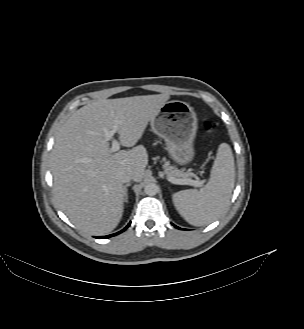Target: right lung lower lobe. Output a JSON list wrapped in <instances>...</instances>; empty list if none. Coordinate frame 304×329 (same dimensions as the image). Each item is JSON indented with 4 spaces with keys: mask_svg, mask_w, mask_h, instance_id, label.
<instances>
[{
    "mask_svg": "<svg viewBox=\"0 0 304 329\" xmlns=\"http://www.w3.org/2000/svg\"><path fill=\"white\" fill-rule=\"evenodd\" d=\"M130 224H128L123 230H121V231H119V232H117V233H115V234H111V235H107V236H99V237H96V238H98V239H102V238H109V237H112V236H115V235H117V234H120V233H122L128 226H129Z\"/></svg>",
    "mask_w": 304,
    "mask_h": 329,
    "instance_id": "right-lung-lower-lobe-1",
    "label": "right lung lower lobe"
}]
</instances>
